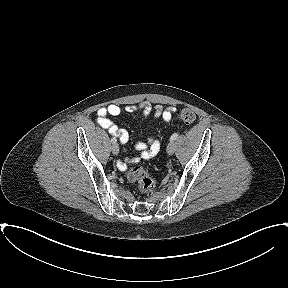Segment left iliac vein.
I'll list each match as a JSON object with an SVG mask.
<instances>
[{
	"label": "left iliac vein",
	"instance_id": "4c4485c4",
	"mask_svg": "<svg viewBox=\"0 0 288 288\" xmlns=\"http://www.w3.org/2000/svg\"><path fill=\"white\" fill-rule=\"evenodd\" d=\"M174 151H175V144L173 141H170L168 146H167V153L169 155H172L174 153Z\"/></svg>",
	"mask_w": 288,
	"mask_h": 288
}]
</instances>
